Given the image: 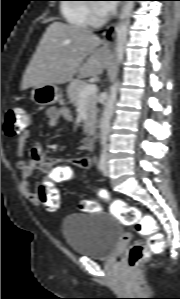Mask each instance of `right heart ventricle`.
<instances>
[{"label":"right heart ventricle","mask_w":180,"mask_h":299,"mask_svg":"<svg viewBox=\"0 0 180 299\" xmlns=\"http://www.w3.org/2000/svg\"><path fill=\"white\" fill-rule=\"evenodd\" d=\"M69 2L84 0H66ZM65 20L72 26L88 28L92 26L90 7L87 4L65 3L62 6Z\"/></svg>","instance_id":"e07e8e85"}]
</instances>
